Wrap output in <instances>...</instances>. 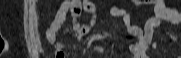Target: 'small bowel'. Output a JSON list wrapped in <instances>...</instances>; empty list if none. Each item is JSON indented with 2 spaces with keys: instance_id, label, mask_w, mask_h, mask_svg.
Wrapping results in <instances>:
<instances>
[{
  "instance_id": "small-bowel-1",
  "label": "small bowel",
  "mask_w": 181,
  "mask_h": 58,
  "mask_svg": "<svg viewBox=\"0 0 181 58\" xmlns=\"http://www.w3.org/2000/svg\"><path fill=\"white\" fill-rule=\"evenodd\" d=\"M83 11L89 14H94L96 11L94 3L89 0H65L59 6L55 17L46 32L48 41L56 45V55L64 53V45L58 42V33L68 15H71L73 18V25L65 30V33L71 32L74 36L80 39L83 35L89 32L91 28L90 26H80L77 23V19ZM111 12L115 16L123 17L128 32L138 38L137 43L128 47V51L132 54V58H150L149 49L151 47L163 52L168 51L166 47L153 41L154 32L156 29L161 28L162 22H168L174 25L181 23V13L167 6L164 0L155 1V15L146 21L143 28L132 25L125 10L115 6L112 8ZM164 33L170 40H177L175 35L166 31ZM92 49L98 53L104 52V48L99 45H94Z\"/></svg>"
}]
</instances>
